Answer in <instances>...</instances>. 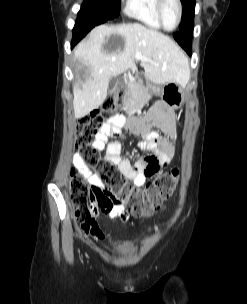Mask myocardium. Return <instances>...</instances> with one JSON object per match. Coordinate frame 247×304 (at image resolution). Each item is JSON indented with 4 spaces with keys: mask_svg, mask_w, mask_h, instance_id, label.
<instances>
[{
    "mask_svg": "<svg viewBox=\"0 0 247 304\" xmlns=\"http://www.w3.org/2000/svg\"><path fill=\"white\" fill-rule=\"evenodd\" d=\"M177 6H178V20L176 25L173 28H167L164 24V20H163V8L164 5L166 3V0H157V4H156V14H157V18L162 26L163 29H165L166 31H173L175 29H177L182 21V15H183V5L181 0H175Z\"/></svg>",
    "mask_w": 247,
    "mask_h": 304,
    "instance_id": "1",
    "label": "myocardium"
}]
</instances>
